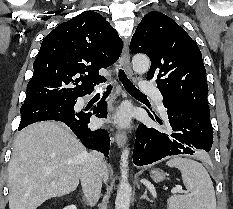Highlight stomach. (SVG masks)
I'll return each instance as SVG.
<instances>
[{
  "label": "stomach",
  "mask_w": 233,
  "mask_h": 209,
  "mask_svg": "<svg viewBox=\"0 0 233 209\" xmlns=\"http://www.w3.org/2000/svg\"><path fill=\"white\" fill-rule=\"evenodd\" d=\"M150 175L155 182H161L165 179V173L159 169L151 170Z\"/></svg>",
  "instance_id": "1"
}]
</instances>
